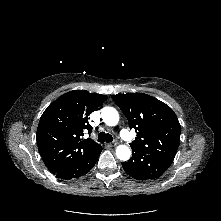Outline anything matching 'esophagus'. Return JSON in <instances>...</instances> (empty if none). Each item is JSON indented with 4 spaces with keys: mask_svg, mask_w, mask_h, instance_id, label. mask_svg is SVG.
<instances>
[{
    "mask_svg": "<svg viewBox=\"0 0 221 221\" xmlns=\"http://www.w3.org/2000/svg\"><path fill=\"white\" fill-rule=\"evenodd\" d=\"M107 147H114L117 145V142L107 143Z\"/></svg>",
    "mask_w": 221,
    "mask_h": 221,
    "instance_id": "1",
    "label": "esophagus"
}]
</instances>
